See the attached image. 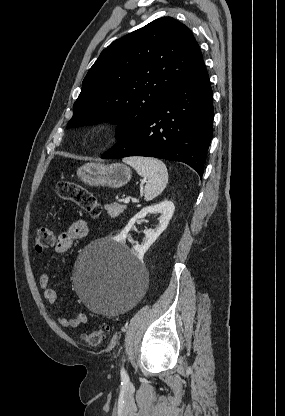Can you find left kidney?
Segmentation results:
<instances>
[{
    "mask_svg": "<svg viewBox=\"0 0 285 416\" xmlns=\"http://www.w3.org/2000/svg\"><path fill=\"white\" fill-rule=\"evenodd\" d=\"M175 206L173 202H160V204H156V206H147V208H143L141 212H138L134 218L129 220L127 226H125L124 230H122L119 238L120 240H126L131 228H133L136 220H140V218H145L147 214H152V212H161L162 216L159 220V226L156 230H144V234L146 238H144L143 244L139 246H133V254H136L138 258H142L145 252L149 250L150 246L156 242L157 238H159L160 234L164 232L165 228H167L173 214H174Z\"/></svg>",
    "mask_w": 285,
    "mask_h": 416,
    "instance_id": "5707ae66",
    "label": "left kidney"
}]
</instances>
